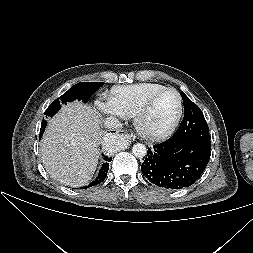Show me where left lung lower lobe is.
<instances>
[{"label":"left lung lower lobe","mask_w":253,"mask_h":253,"mask_svg":"<svg viewBox=\"0 0 253 253\" xmlns=\"http://www.w3.org/2000/svg\"><path fill=\"white\" fill-rule=\"evenodd\" d=\"M210 155V147L202 143L170 138L148 149L141 171L159 187L181 189L201 176Z\"/></svg>","instance_id":"left-lung-lower-lobe-1"}]
</instances>
